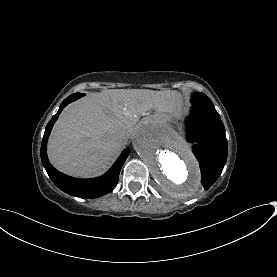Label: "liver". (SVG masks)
I'll use <instances>...</instances> for the list:
<instances>
[{"mask_svg": "<svg viewBox=\"0 0 277 277\" xmlns=\"http://www.w3.org/2000/svg\"><path fill=\"white\" fill-rule=\"evenodd\" d=\"M177 91L106 90L89 93L70 104L54 125L48 143L50 162L59 171L75 177L102 173L125 143L117 133H126L132 120L151 109L172 113Z\"/></svg>", "mask_w": 277, "mask_h": 277, "instance_id": "obj_1", "label": "liver"}]
</instances>
